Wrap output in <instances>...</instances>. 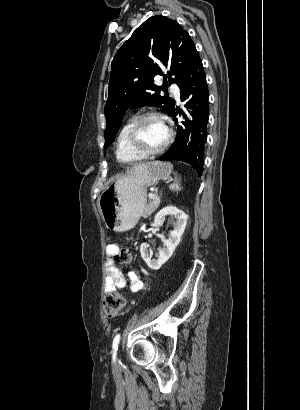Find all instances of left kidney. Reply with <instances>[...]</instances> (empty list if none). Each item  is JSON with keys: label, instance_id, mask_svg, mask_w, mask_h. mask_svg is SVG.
I'll list each match as a JSON object with an SVG mask.
<instances>
[{"label": "left kidney", "instance_id": "1", "mask_svg": "<svg viewBox=\"0 0 300 410\" xmlns=\"http://www.w3.org/2000/svg\"><path fill=\"white\" fill-rule=\"evenodd\" d=\"M166 216L175 219L176 222L174 223V229L170 231L169 238L163 240L164 247L158 249L156 259H152L151 251L148 250V245L146 243H142L140 246L141 257L152 270L160 269L161 266L173 255L187 225L188 215L174 206H167L161 209L155 215L154 224L156 226L162 225L163 219Z\"/></svg>", "mask_w": 300, "mask_h": 410}]
</instances>
